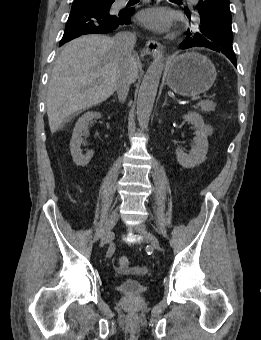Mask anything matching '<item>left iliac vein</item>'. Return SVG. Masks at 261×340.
Segmentation results:
<instances>
[{
	"instance_id": "1",
	"label": "left iliac vein",
	"mask_w": 261,
	"mask_h": 340,
	"mask_svg": "<svg viewBox=\"0 0 261 340\" xmlns=\"http://www.w3.org/2000/svg\"><path fill=\"white\" fill-rule=\"evenodd\" d=\"M134 230L145 237L154 249L160 250L159 240L143 223L134 226Z\"/></svg>"
}]
</instances>
